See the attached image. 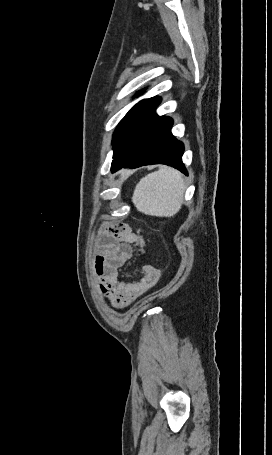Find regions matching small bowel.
Masks as SVG:
<instances>
[{
  "label": "small bowel",
  "instance_id": "c3829d8e",
  "mask_svg": "<svg viewBox=\"0 0 272 455\" xmlns=\"http://www.w3.org/2000/svg\"><path fill=\"white\" fill-rule=\"evenodd\" d=\"M133 246L146 250V242L135 235L127 226L110 225L104 231L100 251L95 259V271L102 292L113 307L121 309L153 287L160 277L153 265H144L133 281L120 279V268L131 258ZM123 277L128 278L127 275Z\"/></svg>",
  "mask_w": 272,
  "mask_h": 455
}]
</instances>
